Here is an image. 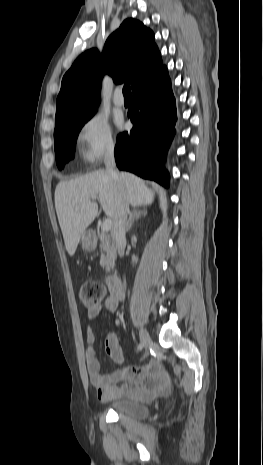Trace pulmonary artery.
Listing matches in <instances>:
<instances>
[{"label": "pulmonary artery", "mask_w": 263, "mask_h": 465, "mask_svg": "<svg viewBox=\"0 0 263 465\" xmlns=\"http://www.w3.org/2000/svg\"><path fill=\"white\" fill-rule=\"evenodd\" d=\"M113 103L114 105L118 106V107H121L124 105V98L121 94V90L120 89H117L114 93V96H113Z\"/></svg>", "instance_id": "pulmonary-artery-1"}]
</instances>
